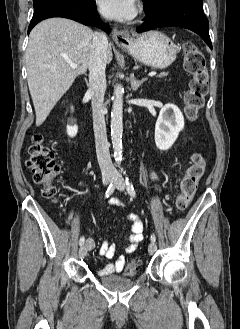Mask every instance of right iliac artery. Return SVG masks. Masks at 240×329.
<instances>
[{
  "mask_svg": "<svg viewBox=\"0 0 240 329\" xmlns=\"http://www.w3.org/2000/svg\"><path fill=\"white\" fill-rule=\"evenodd\" d=\"M115 190V184L112 182L107 188V191L105 193V197L108 198ZM85 238L82 236L79 240V245L82 246L84 244Z\"/></svg>",
  "mask_w": 240,
  "mask_h": 329,
  "instance_id": "1",
  "label": "right iliac artery"
}]
</instances>
